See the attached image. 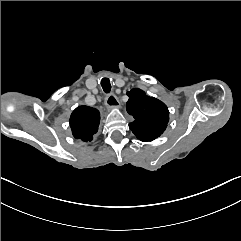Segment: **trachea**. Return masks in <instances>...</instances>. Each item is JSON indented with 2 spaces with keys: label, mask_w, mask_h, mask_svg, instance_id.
Segmentation results:
<instances>
[{
  "label": "trachea",
  "mask_w": 241,
  "mask_h": 241,
  "mask_svg": "<svg viewBox=\"0 0 241 241\" xmlns=\"http://www.w3.org/2000/svg\"><path fill=\"white\" fill-rule=\"evenodd\" d=\"M101 85L103 87L104 92L109 93L111 90L110 80L106 77H104L101 80Z\"/></svg>",
  "instance_id": "trachea-1"
}]
</instances>
